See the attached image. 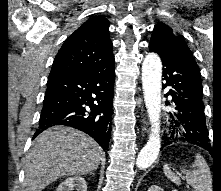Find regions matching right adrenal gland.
Wrapping results in <instances>:
<instances>
[{
	"label": "right adrenal gland",
	"instance_id": "2a0ac1e0",
	"mask_svg": "<svg viewBox=\"0 0 221 191\" xmlns=\"http://www.w3.org/2000/svg\"><path fill=\"white\" fill-rule=\"evenodd\" d=\"M89 174L93 177L95 176L94 172H90Z\"/></svg>",
	"mask_w": 221,
	"mask_h": 191
}]
</instances>
